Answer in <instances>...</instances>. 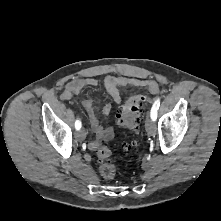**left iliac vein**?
Returning a JSON list of instances; mask_svg holds the SVG:
<instances>
[{"label":"left iliac vein","mask_w":221,"mask_h":221,"mask_svg":"<svg viewBox=\"0 0 221 221\" xmlns=\"http://www.w3.org/2000/svg\"><path fill=\"white\" fill-rule=\"evenodd\" d=\"M145 129L149 135H154L156 133V125L150 118L145 121Z\"/></svg>","instance_id":"1"}]
</instances>
